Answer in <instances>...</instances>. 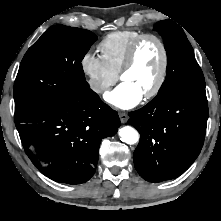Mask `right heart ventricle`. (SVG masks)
I'll use <instances>...</instances> for the list:
<instances>
[{
  "label": "right heart ventricle",
  "instance_id": "obj_1",
  "mask_svg": "<svg viewBox=\"0 0 221 221\" xmlns=\"http://www.w3.org/2000/svg\"><path fill=\"white\" fill-rule=\"evenodd\" d=\"M141 34L138 30L115 31L107 34L99 43L101 57L115 74L119 73L130 45Z\"/></svg>",
  "mask_w": 221,
  "mask_h": 221
}]
</instances>
